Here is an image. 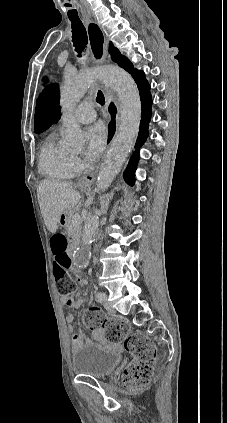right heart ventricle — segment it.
Here are the masks:
<instances>
[{
  "label": "right heart ventricle",
  "mask_w": 227,
  "mask_h": 423,
  "mask_svg": "<svg viewBox=\"0 0 227 423\" xmlns=\"http://www.w3.org/2000/svg\"><path fill=\"white\" fill-rule=\"evenodd\" d=\"M72 154L57 143L54 133L48 135L39 150L38 171L50 179L62 180L71 177Z\"/></svg>",
  "instance_id": "1"
}]
</instances>
